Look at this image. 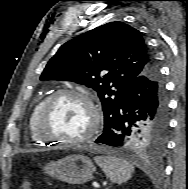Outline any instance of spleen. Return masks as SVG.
<instances>
[{
    "label": "spleen",
    "mask_w": 188,
    "mask_h": 189,
    "mask_svg": "<svg viewBox=\"0 0 188 189\" xmlns=\"http://www.w3.org/2000/svg\"><path fill=\"white\" fill-rule=\"evenodd\" d=\"M94 160L114 183L127 182L134 172V167L129 162L114 156H96Z\"/></svg>",
    "instance_id": "3e777b00"
}]
</instances>
